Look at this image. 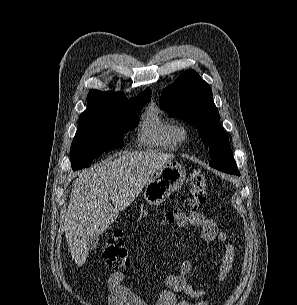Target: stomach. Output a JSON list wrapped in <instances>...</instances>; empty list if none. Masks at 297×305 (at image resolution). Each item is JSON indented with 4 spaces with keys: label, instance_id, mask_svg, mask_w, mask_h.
<instances>
[{
    "label": "stomach",
    "instance_id": "1",
    "mask_svg": "<svg viewBox=\"0 0 297 305\" xmlns=\"http://www.w3.org/2000/svg\"><path fill=\"white\" fill-rule=\"evenodd\" d=\"M185 177V168L178 162L170 161L145 185V201L154 206L163 203L171 193L181 188Z\"/></svg>",
    "mask_w": 297,
    "mask_h": 305
}]
</instances>
